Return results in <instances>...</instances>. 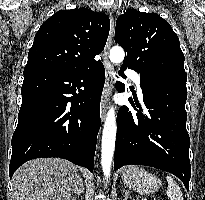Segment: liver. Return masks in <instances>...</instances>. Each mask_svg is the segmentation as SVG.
<instances>
[{"label": "liver", "instance_id": "1", "mask_svg": "<svg viewBox=\"0 0 205 200\" xmlns=\"http://www.w3.org/2000/svg\"><path fill=\"white\" fill-rule=\"evenodd\" d=\"M80 179L77 166L67 160H30L13 175V197L14 200H75Z\"/></svg>", "mask_w": 205, "mask_h": 200}]
</instances>
